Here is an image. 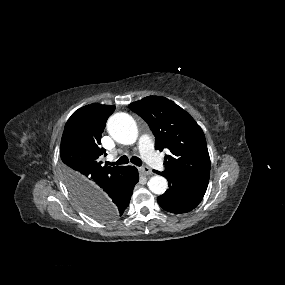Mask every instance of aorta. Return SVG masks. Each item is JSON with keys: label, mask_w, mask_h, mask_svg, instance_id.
<instances>
[{"label": "aorta", "mask_w": 285, "mask_h": 285, "mask_svg": "<svg viewBox=\"0 0 285 285\" xmlns=\"http://www.w3.org/2000/svg\"><path fill=\"white\" fill-rule=\"evenodd\" d=\"M108 133L121 144L131 145L136 142L138 128L135 120L127 113H116L107 122ZM149 190L157 195L163 194L168 187L167 180L159 175L153 176L148 182Z\"/></svg>", "instance_id": "obj_1"}]
</instances>
